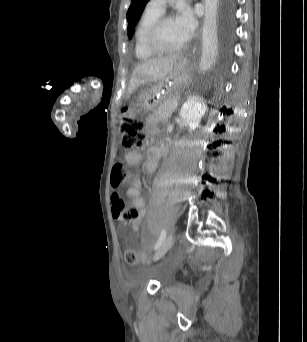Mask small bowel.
I'll return each mask as SVG.
<instances>
[{
    "mask_svg": "<svg viewBox=\"0 0 307 342\" xmlns=\"http://www.w3.org/2000/svg\"><path fill=\"white\" fill-rule=\"evenodd\" d=\"M160 152L161 150L156 149V148L149 149L148 158L146 162V169L148 171H153L157 167V160L160 155ZM125 158L129 164L134 165V164L139 163L143 159V156L139 152L131 151L126 154ZM141 188H142L141 179L138 177L132 178L131 185H130V188L128 189L127 195L129 197L131 206L134 207L138 212L137 218L132 222V228L135 231L139 229L141 220L145 214V203L140 193Z\"/></svg>",
    "mask_w": 307,
    "mask_h": 342,
    "instance_id": "1",
    "label": "small bowel"
}]
</instances>
